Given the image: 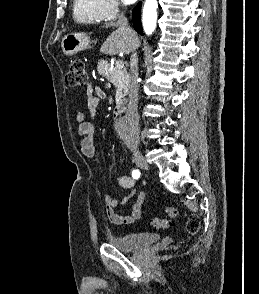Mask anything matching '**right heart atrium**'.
Listing matches in <instances>:
<instances>
[{
  "label": "right heart atrium",
  "mask_w": 259,
  "mask_h": 294,
  "mask_svg": "<svg viewBox=\"0 0 259 294\" xmlns=\"http://www.w3.org/2000/svg\"><path fill=\"white\" fill-rule=\"evenodd\" d=\"M99 2L106 20L115 19L121 12V6L117 0H99Z\"/></svg>",
  "instance_id": "obj_1"
}]
</instances>
